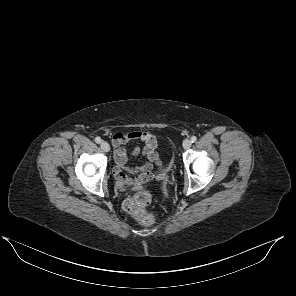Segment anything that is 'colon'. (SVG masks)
Returning a JSON list of instances; mask_svg holds the SVG:
<instances>
[{
  "mask_svg": "<svg viewBox=\"0 0 296 296\" xmlns=\"http://www.w3.org/2000/svg\"><path fill=\"white\" fill-rule=\"evenodd\" d=\"M151 202V195L142 191L134 194L124 203L125 210L135 216L142 224L151 225L155 218L153 214L145 210L146 206Z\"/></svg>",
  "mask_w": 296,
  "mask_h": 296,
  "instance_id": "obj_1",
  "label": "colon"
}]
</instances>
